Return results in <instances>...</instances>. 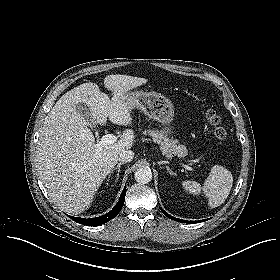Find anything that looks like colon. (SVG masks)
Here are the masks:
<instances>
[{"label":"colon","instance_id":"obj_1","mask_svg":"<svg viewBox=\"0 0 280 280\" xmlns=\"http://www.w3.org/2000/svg\"><path fill=\"white\" fill-rule=\"evenodd\" d=\"M205 119L207 123L212 127L214 137L218 141L224 142L227 133L225 128L221 124L220 116L213 109H208L205 113Z\"/></svg>","mask_w":280,"mask_h":280}]
</instances>
